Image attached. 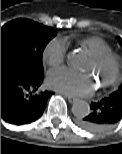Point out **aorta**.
Listing matches in <instances>:
<instances>
[{
    "instance_id": "1",
    "label": "aorta",
    "mask_w": 122,
    "mask_h": 154,
    "mask_svg": "<svg viewBox=\"0 0 122 154\" xmlns=\"http://www.w3.org/2000/svg\"><path fill=\"white\" fill-rule=\"evenodd\" d=\"M81 60V55L78 52H70L67 55V63L71 66H76ZM90 112L89 104L84 100H77L73 103L72 113L76 117H85Z\"/></svg>"
}]
</instances>
